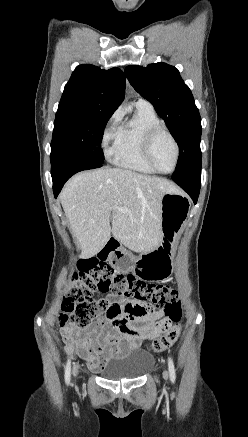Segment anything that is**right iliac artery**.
Masks as SVG:
<instances>
[{"mask_svg": "<svg viewBox=\"0 0 248 437\" xmlns=\"http://www.w3.org/2000/svg\"><path fill=\"white\" fill-rule=\"evenodd\" d=\"M70 373H71V361L68 359L66 368H65V381L67 384L70 382Z\"/></svg>", "mask_w": 248, "mask_h": 437, "instance_id": "1", "label": "right iliac artery"}]
</instances>
